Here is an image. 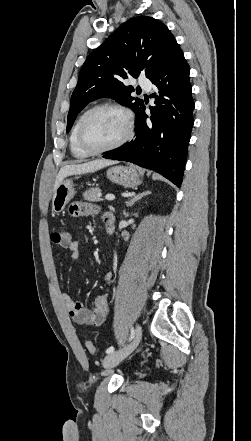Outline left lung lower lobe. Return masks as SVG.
<instances>
[{"instance_id": "0a47b994", "label": "left lung lower lobe", "mask_w": 251, "mask_h": 441, "mask_svg": "<svg viewBox=\"0 0 251 441\" xmlns=\"http://www.w3.org/2000/svg\"><path fill=\"white\" fill-rule=\"evenodd\" d=\"M156 85L151 117L144 103L136 114L135 138L112 150L104 158L134 163L154 170L180 187L188 144L194 124L189 66L176 44L163 66L150 78Z\"/></svg>"}]
</instances>
